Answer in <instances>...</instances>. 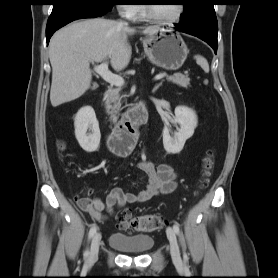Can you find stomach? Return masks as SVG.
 <instances>
[{
    "label": "stomach",
    "instance_id": "obj_1",
    "mask_svg": "<svg viewBox=\"0 0 278 278\" xmlns=\"http://www.w3.org/2000/svg\"><path fill=\"white\" fill-rule=\"evenodd\" d=\"M143 47L150 62L167 70H177L185 62L188 49L179 34L161 30L143 39Z\"/></svg>",
    "mask_w": 278,
    "mask_h": 278
}]
</instances>
